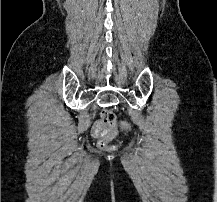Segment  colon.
<instances>
[{
  "label": "colon",
  "instance_id": "colon-1",
  "mask_svg": "<svg viewBox=\"0 0 217 202\" xmlns=\"http://www.w3.org/2000/svg\"><path fill=\"white\" fill-rule=\"evenodd\" d=\"M101 119H104L105 123L107 125H114L116 123V115L111 110H106V108H103V112L100 115ZM124 126L129 128L131 125L127 123L126 121L123 123ZM114 128H117V125H114ZM110 137H114V134H109V137L105 138H99L98 144L102 149H108L110 147Z\"/></svg>",
  "mask_w": 217,
  "mask_h": 202
}]
</instances>
